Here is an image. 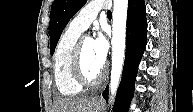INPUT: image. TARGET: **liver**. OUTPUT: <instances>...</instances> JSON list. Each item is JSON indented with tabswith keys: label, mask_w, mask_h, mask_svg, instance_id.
<instances>
[{
	"label": "liver",
	"mask_w": 193,
	"mask_h": 112,
	"mask_svg": "<svg viewBox=\"0 0 193 112\" xmlns=\"http://www.w3.org/2000/svg\"><path fill=\"white\" fill-rule=\"evenodd\" d=\"M93 99L61 98L53 105V112H92Z\"/></svg>",
	"instance_id": "6515ba94"
}]
</instances>
